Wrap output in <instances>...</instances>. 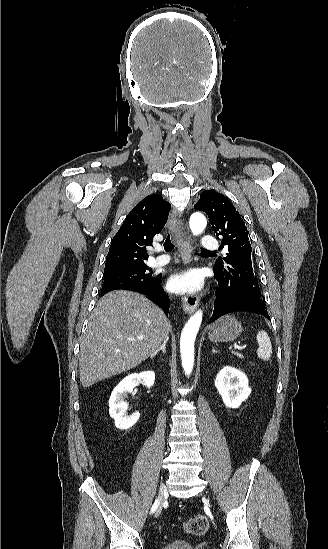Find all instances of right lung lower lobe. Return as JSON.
<instances>
[{
    "label": "right lung lower lobe",
    "instance_id": "1",
    "mask_svg": "<svg viewBox=\"0 0 328 549\" xmlns=\"http://www.w3.org/2000/svg\"><path fill=\"white\" fill-rule=\"evenodd\" d=\"M161 276L156 279L155 282H153L148 287H141V288H131L129 290L139 292L141 294L146 295L151 300L159 303L165 312L166 315H168L169 311V298L165 294L161 284H160ZM104 295V294H103Z\"/></svg>",
    "mask_w": 328,
    "mask_h": 549
}]
</instances>
